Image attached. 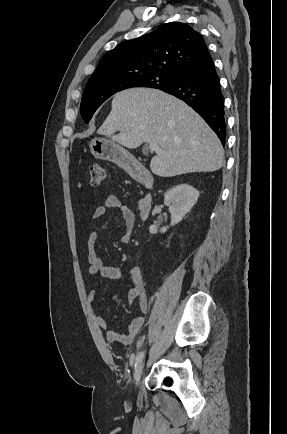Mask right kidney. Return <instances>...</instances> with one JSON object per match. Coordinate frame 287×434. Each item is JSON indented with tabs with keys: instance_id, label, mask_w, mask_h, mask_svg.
<instances>
[{
	"instance_id": "ca27d5eb",
	"label": "right kidney",
	"mask_w": 287,
	"mask_h": 434,
	"mask_svg": "<svg viewBox=\"0 0 287 434\" xmlns=\"http://www.w3.org/2000/svg\"><path fill=\"white\" fill-rule=\"evenodd\" d=\"M199 197V191L193 186L184 183L177 185L167 191L164 196V203L169 206L171 213V226L179 223L184 216L190 212L191 208L196 204ZM168 227H163L160 232H166ZM151 234L157 233V227L151 225L149 227Z\"/></svg>"
}]
</instances>
